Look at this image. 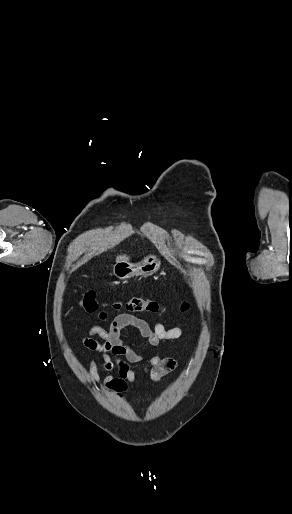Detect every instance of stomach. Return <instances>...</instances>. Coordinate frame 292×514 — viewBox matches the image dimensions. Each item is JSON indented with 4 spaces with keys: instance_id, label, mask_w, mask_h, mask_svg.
Returning a JSON list of instances; mask_svg holds the SVG:
<instances>
[{
    "instance_id": "obj_1",
    "label": "stomach",
    "mask_w": 292,
    "mask_h": 514,
    "mask_svg": "<svg viewBox=\"0 0 292 514\" xmlns=\"http://www.w3.org/2000/svg\"><path fill=\"white\" fill-rule=\"evenodd\" d=\"M160 268V260L157 256H148L139 264H130L127 260H119L113 266V274L119 280H128L134 276H152Z\"/></svg>"
}]
</instances>
